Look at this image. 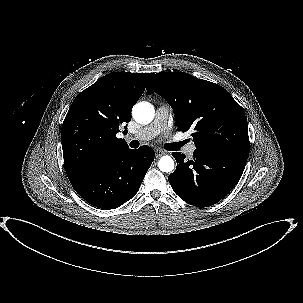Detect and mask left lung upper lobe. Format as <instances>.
Returning a JSON list of instances; mask_svg holds the SVG:
<instances>
[{
	"instance_id": "left-lung-upper-lobe-1",
	"label": "left lung upper lobe",
	"mask_w": 303,
	"mask_h": 303,
	"mask_svg": "<svg viewBox=\"0 0 303 303\" xmlns=\"http://www.w3.org/2000/svg\"><path fill=\"white\" fill-rule=\"evenodd\" d=\"M172 107L178 131L194 130L196 150L248 155L250 142L243 108L220 85L184 72L156 73L147 93Z\"/></svg>"
}]
</instances>
